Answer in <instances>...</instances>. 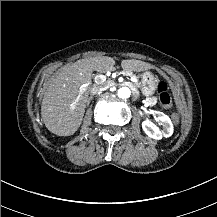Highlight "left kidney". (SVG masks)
Here are the masks:
<instances>
[{
  "label": "left kidney",
  "mask_w": 217,
  "mask_h": 217,
  "mask_svg": "<svg viewBox=\"0 0 217 217\" xmlns=\"http://www.w3.org/2000/svg\"><path fill=\"white\" fill-rule=\"evenodd\" d=\"M154 114L157 115V121L162 126L160 129L157 125H155L149 119H146L142 122L143 131L153 139H161L162 137H170L173 134V124L166 114L160 111H154Z\"/></svg>",
  "instance_id": "left-kidney-1"
}]
</instances>
